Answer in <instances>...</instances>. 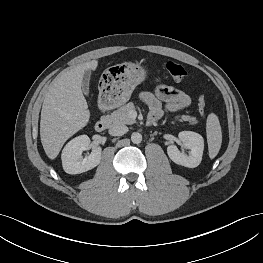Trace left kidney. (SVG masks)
Listing matches in <instances>:
<instances>
[{
    "mask_svg": "<svg viewBox=\"0 0 263 263\" xmlns=\"http://www.w3.org/2000/svg\"><path fill=\"white\" fill-rule=\"evenodd\" d=\"M178 137L182 144L187 149H190L189 155H185L183 152H180L175 145H170L167 147V154L169 158L174 163L184 167H197L202 160L204 150L203 137L192 131H182L178 134Z\"/></svg>",
    "mask_w": 263,
    "mask_h": 263,
    "instance_id": "5707ae66",
    "label": "left kidney"
}]
</instances>
